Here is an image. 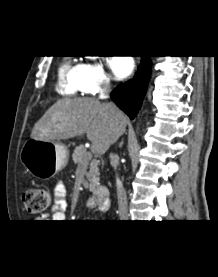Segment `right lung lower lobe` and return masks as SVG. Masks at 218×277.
Instances as JSON below:
<instances>
[{
  "label": "right lung lower lobe",
  "mask_w": 218,
  "mask_h": 277,
  "mask_svg": "<svg viewBox=\"0 0 218 277\" xmlns=\"http://www.w3.org/2000/svg\"><path fill=\"white\" fill-rule=\"evenodd\" d=\"M151 60L142 56L141 65L134 78L116 87L111 98L117 106L133 119L141 106L150 79Z\"/></svg>",
  "instance_id": "obj_1"
}]
</instances>
